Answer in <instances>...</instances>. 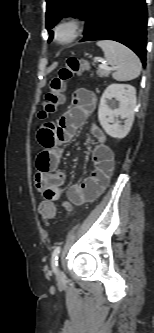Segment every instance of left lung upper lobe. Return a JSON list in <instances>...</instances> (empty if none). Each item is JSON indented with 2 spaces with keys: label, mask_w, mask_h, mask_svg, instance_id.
<instances>
[{
  "label": "left lung upper lobe",
  "mask_w": 154,
  "mask_h": 333,
  "mask_svg": "<svg viewBox=\"0 0 154 333\" xmlns=\"http://www.w3.org/2000/svg\"><path fill=\"white\" fill-rule=\"evenodd\" d=\"M97 0H46V28L50 37L53 36L51 29L62 18L68 16L85 19Z\"/></svg>",
  "instance_id": "1"
}]
</instances>
